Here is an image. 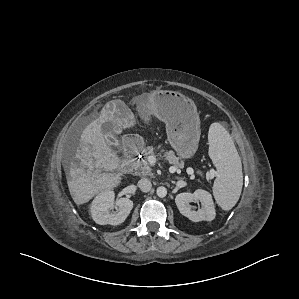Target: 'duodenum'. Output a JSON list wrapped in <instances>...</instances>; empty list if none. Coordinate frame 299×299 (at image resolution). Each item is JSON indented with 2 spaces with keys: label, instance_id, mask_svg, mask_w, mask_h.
<instances>
[{
  "label": "duodenum",
  "instance_id": "duodenum-1",
  "mask_svg": "<svg viewBox=\"0 0 299 299\" xmlns=\"http://www.w3.org/2000/svg\"><path fill=\"white\" fill-rule=\"evenodd\" d=\"M138 155V148L133 139H128L125 142V157L120 162V170L125 172L130 168L131 162Z\"/></svg>",
  "mask_w": 299,
  "mask_h": 299
}]
</instances>
